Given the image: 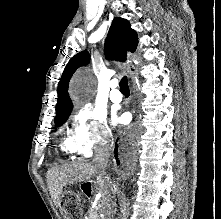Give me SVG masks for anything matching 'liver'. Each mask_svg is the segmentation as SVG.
<instances>
[{
	"mask_svg": "<svg viewBox=\"0 0 221 219\" xmlns=\"http://www.w3.org/2000/svg\"><path fill=\"white\" fill-rule=\"evenodd\" d=\"M97 170L92 163L74 161L56 166L47 172V185L54 204L60 206V198L63 188L75 183H84L90 180L91 176L97 174ZM117 185L110 177L98 176L96 192L102 195V205L106 214H110L113 204L112 196L115 195Z\"/></svg>",
	"mask_w": 221,
	"mask_h": 219,
	"instance_id": "liver-1",
	"label": "liver"
}]
</instances>
